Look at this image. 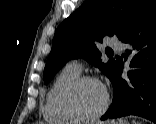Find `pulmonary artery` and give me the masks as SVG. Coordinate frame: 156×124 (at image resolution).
I'll return each mask as SVG.
<instances>
[{
    "label": "pulmonary artery",
    "instance_id": "pulmonary-artery-1",
    "mask_svg": "<svg viewBox=\"0 0 156 124\" xmlns=\"http://www.w3.org/2000/svg\"><path fill=\"white\" fill-rule=\"evenodd\" d=\"M108 44L113 47L117 52L121 53L123 50L122 44L119 42L117 38H109ZM68 67L73 68L75 70L81 71L82 69V63L78 59L71 60L68 64Z\"/></svg>",
    "mask_w": 156,
    "mask_h": 124
}]
</instances>
